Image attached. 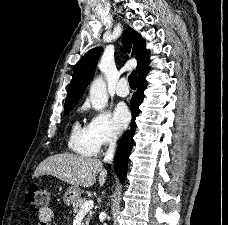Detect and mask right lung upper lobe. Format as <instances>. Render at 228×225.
I'll use <instances>...</instances> for the list:
<instances>
[{"instance_id": "1", "label": "right lung upper lobe", "mask_w": 228, "mask_h": 225, "mask_svg": "<svg viewBox=\"0 0 228 225\" xmlns=\"http://www.w3.org/2000/svg\"><path fill=\"white\" fill-rule=\"evenodd\" d=\"M122 42L124 45V48L122 49L123 51L127 49L128 52L131 51L132 55H137V72L150 62L148 57L149 52L145 51L146 44L144 39L132 28H128L124 32ZM100 53L101 48L91 49L76 64L64 107L77 104V101L84 93L87 85L94 75L95 66Z\"/></svg>"}]
</instances>
